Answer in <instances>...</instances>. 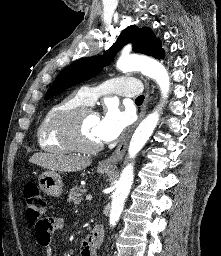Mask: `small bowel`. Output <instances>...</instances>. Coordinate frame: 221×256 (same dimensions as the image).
Masks as SVG:
<instances>
[{
  "label": "small bowel",
  "instance_id": "1",
  "mask_svg": "<svg viewBox=\"0 0 221 256\" xmlns=\"http://www.w3.org/2000/svg\"><path fill=\"white\" fill-rule=\"evenodd\" d=\"M63 227V220L58 217L45 219V226L35 227V238L37 243L44 249L45 256H53L51 235ZM81 256H96V250L92 249L86 242L82 243Z\"/></svg>",
  "mask_w": 221,
  "mask_h": 256
}]
</instances>
